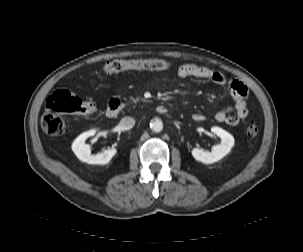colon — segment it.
Wrapping results in <instances>:
<instances>
[{
	"label": "colon",
	"instance_id": "5ec220e1",
	"mask_svg": "<svg viewBox=\"0 0 303 252\" xmlns=\"http://www.w3.org/2000/svg\"><path fill=\"white\" fill-rule=\"evenodd\" d=\"M172 67L169 61L161 59H137V60H112L107 62L103 71L106 74H115L135 70H168ZM95 107L90 101H83L68 90H59L52 94L46 101L45 111L42 117L44 131L52 136H59L65 132V123L62 114L91 115ZM259 128L250 124L246 129L249 138H255Z\"/></svg>",
	"mask_w": 303,
	"mask_h": 252
}]
</instances>
